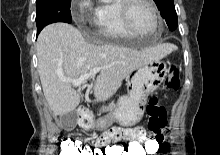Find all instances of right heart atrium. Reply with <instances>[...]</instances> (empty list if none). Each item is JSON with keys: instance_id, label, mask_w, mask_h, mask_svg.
I'll list each match as a JSON object with an SVG mask.
<instances>
[{"instance_id": "d8ad5b80", "label": "right heart atrium", "mask_w": 220, "mask_h": 155, "mask_svg": "<svg viewBox=\"0 0 220 155\" xmlns=\"http://www.w3.org/2000/svg\"><path fill=\"white\" fill-rule=\"evenodd\" d=\"M92 11L93 7L90 0H79L74 18L79 22H96V19L94 20L90 16Z\"/></svg>"}]
</instances>
